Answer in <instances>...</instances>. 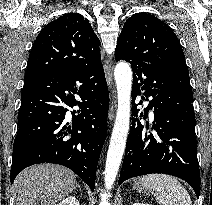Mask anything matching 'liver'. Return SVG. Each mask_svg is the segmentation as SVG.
<instances>
[{
	"mask_svg": "<svg viewBox=\"0 0 212 205\" xmlns=\"http://www.w3.org/2000/svg\"><path fill=\"white\" fill-rule=\"evenodd\" d=\"M74 172L55 164H39L22 171L13 183L16 205H54L76 186Z\"/></svg>",
	"mask_w": 212,
	"mask_h": 205,
	"instance_id": "obj_1",
	"label": "liver"
}]
</instances>
